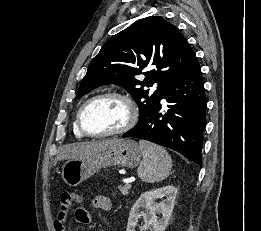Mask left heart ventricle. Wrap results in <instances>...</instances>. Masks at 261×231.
Returning <instances> with one entry per match:
<instances>
[{
    "mask_svg": "<svg viewBox=\"0 0 261 231\" xmlns=\"http://www.w3.org/2000/svg\"><path fill=\"white\" fill-rule=\"evenodd\" d=\"M128 119V106L119 98L98 100L90 105L83 115L84 126L92 133H105L120 129Z\"/></svg>",
    "mask_w": 261,
    "mask_h": 231,
    "instance_id": "b2bd125f",
    "label": "left heart ventricle"
}]
</instances>
